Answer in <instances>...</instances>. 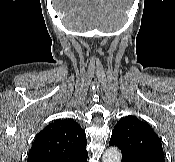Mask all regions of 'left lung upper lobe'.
Listing matches in <instances>:
<instances>
[{
    "instance_id": "obj_1",
    "label": "left lung upper lobe",
    "mask_w": 175,
    "mask_h": 162,
    "mask_svg": "<svg viewBox=\"0 0 175 162\" xmlns=\"http://www.w3.org/2000/svg\"><path fill=\"white\" fill-rule=\"evenodd\" d=\"M122 152V159L132 161L149 155L163 157L161 141L153 129L135 116L122 118L114 127L109 142Z\"/></svg>"
}]
</instances>
